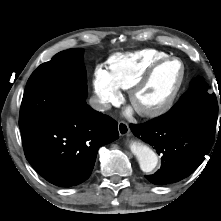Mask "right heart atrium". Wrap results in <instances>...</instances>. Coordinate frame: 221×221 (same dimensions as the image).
Wrapping results in <instances>:
<instances>
[{"label": "right heart atrium", "mask_w": 221, "mask_h": 221, "mask_svg": "<svg viewBox=\"0 0 221 221\" xmlns=\"http://www.w3.org/2000/svg\"><path fill=\"white\" fill-rule=\"evenodd\" d=\"M92 82L97 101L103 110L109 109L121 99L120 88L103 67H96Z\"/></svg>", "instance_id": "right-heart-atrium-1"}]
</instances>
